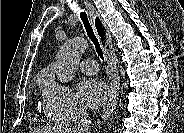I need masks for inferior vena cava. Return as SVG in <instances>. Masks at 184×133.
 <instances>
[{"label": "inferior vena cava", "mask_w": 184, "mask_h": 133, "mask_svg": "<svg viewBox=\"0 0 184 133\" xmlns=\"http://www.w3.org/2000/svg\"><path fill=\"white\" fill-rule=\"evenodd\" d=\"M78 122L74 128V133H86L90 127V121L88 119V113L81 107L77 109Z\"/></svg>", "instance_id": "obj_1"}]
</instances>
